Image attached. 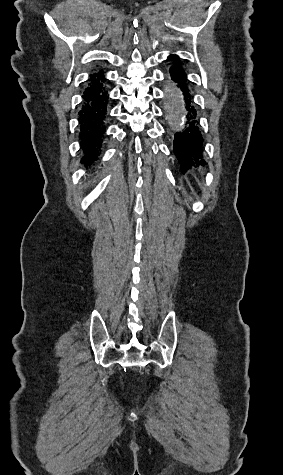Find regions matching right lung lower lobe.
Masks as SVG:
<instances>
[{"mask_svg": "<svg viewBox=\"0 0 283 475\" xmlns=\"http://www.w3.org/2000/svg\"><path fill=\"white\" fill-rule=\"evenodd\" d=\"M103 70L90 75L79 106L78 128L81 150V163L90 167L98 160L102 146L109 110V93Z\"/></svg>", "mask_w": 283, "mask_h": 475, "instance_id": "right-lung-lower-lobe-1", "label": "right lung lower lobe"}]
</instances>
